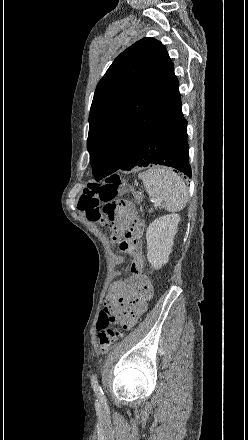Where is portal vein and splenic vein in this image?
Listing matches in <instances>:
<instances>
[{
    "label": "portal vein and splenic vein",
    "mask_w": 248,
    "mask_h": 440,
    "mask_svg": "<svg viewBox=\"0 0 248 440\" xmlns=\"http://www.w3.org/2000/svg\"><path fill=\"white\" fill-rule=\"evenodd\" d=\"M151 202H154L156 206H157V205H160V203H158V202H157L156 200H154V199H152Z\"/></svg>",
    "instance_id": "18ae733b"
}]
</instances>
